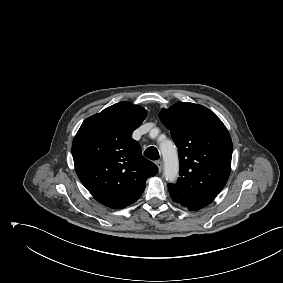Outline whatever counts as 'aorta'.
Returning a JSON list of instances; mask_svg holds the SVG:
<instances>
[{
	"label": "aorta",
	"instance_id": "762f6f07",
	"mask_svg": "<svg viewBox=\"0 0 283 283\" xmlns=\"http://www.w3.org/2000/svg\"><path fill=\"white\" fill-rule=\"evenodd\" d=\"M164 160V175L166 180L174 181L178 175L179 162L175 146L171 141H164L160 145Z\"/></svg>",
	"mask_w": 283,
	"mask_h": 283
}]
</instances>
